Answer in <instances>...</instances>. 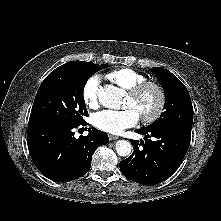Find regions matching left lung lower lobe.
I'll list each match as a JSON object with an SVG mask.
<instances>
[{
	"mask_svg": "<svg viewBox=\"0 0 221 221\" xmlns=\"http://www.w3.org/2000/svg\"><path fill=\"white\" fill-rule=\"evenodd\" d=\"M135 132L145 135V142L141 140L139 144L137 140L131 141L133 154L120 162L123 175L145 185L159 183L171 176L181 165L188 150L191 131L142 128Z\"/></svg>",
	"mask_w": 221,
	"mask_h": 221,
	"instance_id": "obj_1",
	"label": "left lung lower lobe"
}]
</instances>
